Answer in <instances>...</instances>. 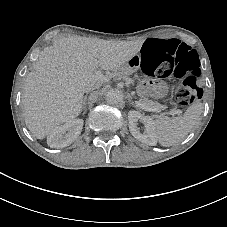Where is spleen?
<instances>
[{
	"mask_svg": "<svg viewBox=\"0 0 227 227\" xmlns=\"http://www.w3.org/2000/svg\"><path fill=\"white\" fill-rule=\"evenodd\" d=\"M201 109V105L195 104L181 116L155 118L153 122V133L159 145L170 147L181 143L195 127L201 115Z\"/></svg>",
	"mask_w": 227,
	"mask_h": 227,
	"instance_id": "obj_1",
	"label": "spleen"
}]
</instances>
